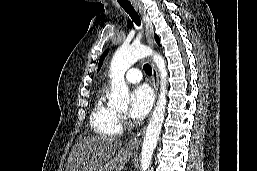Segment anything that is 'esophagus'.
<instances>
[{"label": "esophagus", "mask_w": 257, "mask_h": 171, "mask_svg": "<svg viewBox=\"0 0 257 171\" xmlns=\"http://www.w3.org/2000/svg\"><path fill=\"white\" fill-rule=\"evenodd\" d=\"M133 6L135 10L139 13V15L142 17L143 23L145 25V36L148 44L151 47H154V39H153V26L152 23L148 17V14L146 13L145 8L143 5L139 2H134ZM151 66H152V83H153V88L155 91V96L157 97L158 94V87H159V77H158V72L155 67V64L153 61H151ZM145 131V126L139 130L126 144H125V149L129 151H136L141 143L142 137L144 135Z\"/></svg>", "instance_id": "1"}]
</instances>
